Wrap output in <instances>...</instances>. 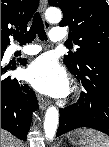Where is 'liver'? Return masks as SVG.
<instances>
[{
	"mask_svg": "<svg viewBox=\"0 0 109 147\" xmlns=\"http://www.w3.org/2000/svg\"><path fill=\"white\" fill-rule=\"evenodd\" d=\"M1 147H21V142L9 132L2 130Z\"/></svg>",
	"mask_w": 109,
	"mask_h": 147,
	"instance_id": "6515ba94",
	"label": "liver"
}]
</instances>
